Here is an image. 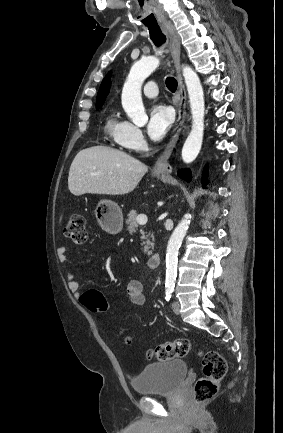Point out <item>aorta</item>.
Listing matches in <instances>:
<instances>
[{
    "instance_id": "762f6f07",
    "label": "aorta",
    "mask_w": 283,
    "mask_h": 433,
    "mask_svg": "<svg viewBox=\"0 0 283 433\" xmlns=\"http://www.w3.org/2000/svg\"><path fill=\"white\" fill-rule=\"evenodd\" d=\"M159 63V59L155 56L145 57L135 62L123 86L121 96L123 109L130 120L137 126L145 125L148 120L142 102V84L159 66ZM182 72L192 115V127L182 148V159L185 163H190L198 156L202 146L205 102L203 88L196 72L189 66H183ZM189 223V216L186 214L173 231L168 242L165 281V286L168 288H173L175 285L178 251L187 233Z\"/></svg>"
}]
</instances>
